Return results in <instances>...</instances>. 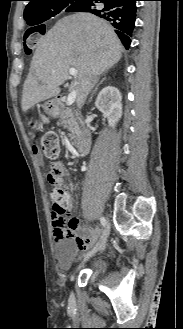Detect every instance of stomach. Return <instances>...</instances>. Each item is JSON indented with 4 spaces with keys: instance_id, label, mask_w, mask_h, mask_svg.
<instances>
[{
    "instance_id": "stomach-1",
    "label": "stomach",
    "mask_w": 183,
    "mask_h": 329,
    "mask_svg": "<svg viewBox=\"0 0 183 329\" xmlns=\"http://www.w3.org/2000/svg\"><path fill=\"white\" fill-rule=\"evenodd\" d=\"M43 108L44 111L49 115L56 114L59 111V102L57 99H52L46 102Z\"/></svg>"
}]
</instances>
